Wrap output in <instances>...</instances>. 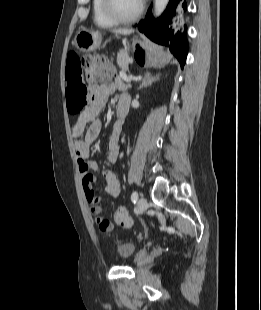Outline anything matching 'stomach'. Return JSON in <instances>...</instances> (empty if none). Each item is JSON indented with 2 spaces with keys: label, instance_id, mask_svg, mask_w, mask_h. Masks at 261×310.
<instances>
[{
  "label": "stomach",
  "instance_id": "0dacf381",
  "mask_svg": "<svg viewBox=\"0 0 261 310\" xmlns=\"http://www.w3.org/2000/svg\"><path fill=\"white\" fill-rule=\"evenodd\" d=\"M74 44L84 53L93 52L102 47L103 37L98 31L81 30L76 34ZM133 49L136 59L145 67L160 68L166 63L167 54L160 47L136 40Z\"/></svg>",
  "mask_w": 261,
  "mask_h": 310
}]
</instances>
